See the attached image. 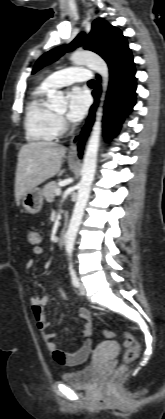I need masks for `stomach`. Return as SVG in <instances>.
<instances>
[{"label":"stomach","instance_id":"0dacf381","mask_svg":"<svg viewBox=\"0 0 165 419\" xmlns=\"http://www.w3.org/2000/svg\"><path fill=\"white\" fill-rule=\"evenodd\" d=\"M44 196L40 188L25 192L21 197V204L26 212L30 214L38 213L43 206Z\"/></svg>","mask_w":165,"mask_h":419}]
</instances>
